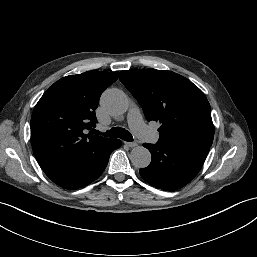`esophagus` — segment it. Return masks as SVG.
I'll return each instance as SVG.
<instances>
[{"label":"esophagus","instance_id":"esophagus-1","mask_svg":"<svg viewBox=\"0 0 257 257\" xmlns=\"http://www.w3.org/2000/svg\"><path fill=\"white\" fill-rule=\"evenodd\" d=\"M127 146L129 147H135L137 146V143L136 142H124Z\"/></svg>","mask_w":257,"mask_h":257}]
</instances>
